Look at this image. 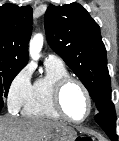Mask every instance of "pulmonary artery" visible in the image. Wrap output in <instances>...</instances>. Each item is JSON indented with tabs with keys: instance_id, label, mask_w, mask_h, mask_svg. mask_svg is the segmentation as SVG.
<instances>
[{
	"instance_id": "1",
	"label": "pulmonary artery",
	"mask_w": 119,
	"mask_h": 141,
	"mask_svg": "<svg viewBox=\"0 0 119 141\" xmlns=\"http://www.w3.org/2000/svg\"><path fill=\"white\" fill-rule=\"evenodd\" d=\"M45 61L63 63L62 59L54 54H48L45 58Z\"/></svg>"
}]
</instances>
